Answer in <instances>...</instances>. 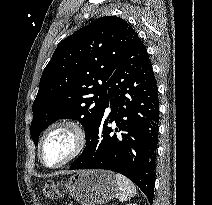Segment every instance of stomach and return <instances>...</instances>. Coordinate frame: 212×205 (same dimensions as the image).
Returning a JSON list of instances; mask_svg holds the SVG:
<instances>
[{
	"mask_svg": "<svg viewBox=\"0 0 212 205\" xmlns=\"http://www.w3.org/2000/svg\"><path fill=\"white\" fill-rule=\"evenodd\" d=\"M64 186L81 205H103L118 193L114 174L100 169L77 172L70 176Z\"/></svg>",
	"mask_w": 212,
	"mask_h": 205,
	"instance_id": "stomach-1",
	"label": "stomach"
}]
</instances>
